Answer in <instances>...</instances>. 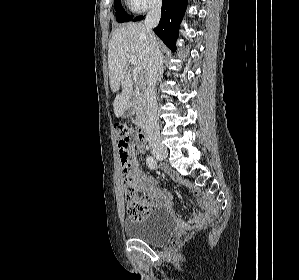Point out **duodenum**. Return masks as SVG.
Here are the masks:
<instances>
[{
  "instance_id": "410a0bca",
  "label": "duodenum",
  "mask_w": 299,
  "mask_h": 280,
  "mask_svg": "<svg viewBox=\"0 0 299 280\" xmlns=\"http://www.w3.org/2000/svg\"><path fill=\"white\" fill-rule=\"evenodd\" d=\"M138 137L140 140L144 141L148 137V131L145 124H141L138 128Z\"/></svg>"
}]
</instances>
